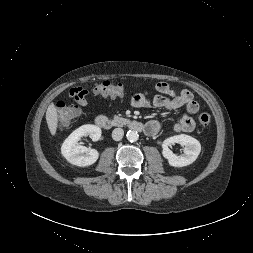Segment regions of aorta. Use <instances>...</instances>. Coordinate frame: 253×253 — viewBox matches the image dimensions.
Here are the masks:
<instances>
[{
	"label": "aorta",
	"instance_id": "762f6f07",
	"mask_svg": "<svg viewBox=\"0 0 253 253\" xmlns=\"http://www.w3.org/2000/svg\"><path fill=\"white\" fill-rule=\"evenodd\" d=\"M128 141L136 142L139 138V134L137 131L129 130L126 134Z\"/></svg>",
	"mask_w": 253,
	"mask_h": 253
}]
</instances>
